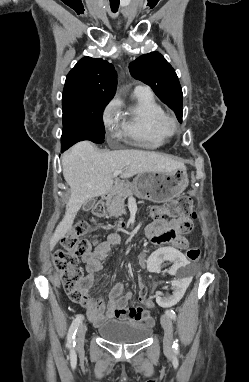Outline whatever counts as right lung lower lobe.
<instances>
[{"label":"right lung lower lobe","instance_id":"right-lung-lower-lobe-1","mask_svg":"<svg viewBox=\"0 0 249 382\" xmlns=\"http://www.w3.org/2000/svg\"><path fill=\"white\" fill-rule=\"evenodd\" d=\"M64 150H65V149H63V148L61 149L62 152H63Z\"/></svg>","mask_w":249,"mask_h":382}]
</instances>
